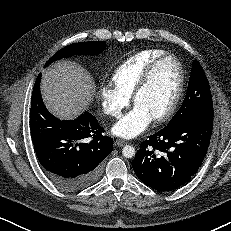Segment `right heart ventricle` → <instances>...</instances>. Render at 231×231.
Returning <instances> with one entry per match:
<instances>
[{
    "instance_id": "e07e8e85",
    "label": "right heart ventricle",
    "mask_w": 231,
    "mask_h": 231,
    "mask_svg": "<svg viewBox=\"0 0 231 231\" xmlns=\"http://www.w3.org/2000/svg\"><path fill=\"white\" fill-rule=\"evenodd\" d=\"M164 53L165 51L160 49H149L134 54L114 71L112 76L114 85L131 97L146 67Z\"/></svg>"
}]
</instances>
